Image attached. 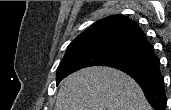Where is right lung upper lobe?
Masks as SVG:
<instances>
[{
    "label": "right lung upper lobe",
    "mask_w": 171,
    "mask_h": 110,
    "mask_svg": "<svg viewBox=\"0 0 171 110\" xmlns=\"http://www.w3.org/2000/svg\"><path fill=\"white\" fill-rule=\"evenodd\" d=\"M91 42H103L134 49L148 56L157 57L139 25L123 15L103 18L77 36L68 47Z\"/></svg>",
    "instance_id": "1"
}]
</instances>
